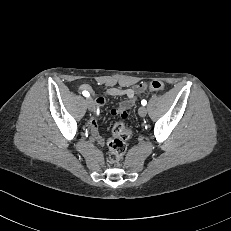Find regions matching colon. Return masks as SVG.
Here are the masks:
<instances>
[{
  "mask_svg": "<svg viewBox=\"0 0 231 231\" xmlns=\"http://www.w3.org/2000/svg\"><path fill=\"white\" fill-rule=\"evenodd\" d=\"M165 85L163 82L155 80L147 84L146 89L148 91H161L164 90ZM122 118H126L127 114H123ZM133 130L124 126L121 122H116L112 128V136L108 140V165L117 164L123 157L126 151L125 141L133 136Z\"/></svg>",
  "mask_w": 231,
  "mask_h": 231,
  "instance_id": "5ec220e1",
  "label": "colon"
}]
</instances>
